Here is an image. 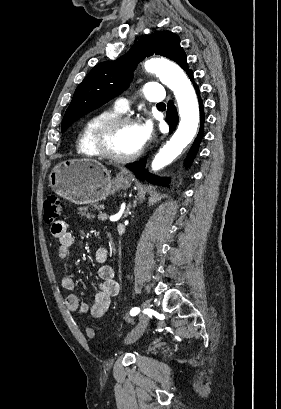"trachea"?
I'll return each mask as SVG.
<instances>
[{"mask_svg":"<svg viewBox=\"0 0 281 409\" xmlns=\"http://www.w3.org/2000/svg\"><path fill=\"white\" fill-rule=\"evenodd\" d=\"M157 105H165L163 102H159V104H157Z\"/></svg>","mask_w":281,"mask_h":409,"instance_id":"1","label":"trachea"}]
</instances>
